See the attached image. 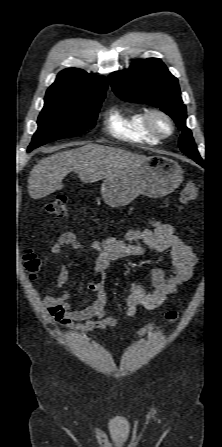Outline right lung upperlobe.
Wrapping results in <instances>:
<instances>
[{"mask_svg": "<svg viewBox=\"0 0 222 447\" xmlns=\"http://www.w3.org/2000/svg\"><path fill=\"white\" fill-rule=\"evenodd\" d=\"M108 79L97 77L77 68H67L61 71L56 81L47 92H59L77 97L104 95Z\"/></svg>", "mask_w": 222, "mask_h": 447, "instance_id": "1", "label": "right lung upper lobe"}]
</instances>
